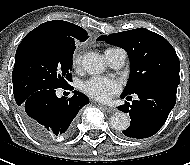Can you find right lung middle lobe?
<instances>
[{
  "instance_id": "1",
  "label": "right lung middle lobe",
  "mask_w": 190,
  "mask_h": 165,
  "mask_svg": "<svg viewBox=\"0 0 190 165\" xmlns=\"http://www.w3.org/2000/svg\"><path fill=\"white\" fill-rule=\"evenodd\" d=\"M78 40L47 28H35L26 35L17 48L12 75L18 105L36 91L69 85Z\"/></svg>"
}]
</instances>
